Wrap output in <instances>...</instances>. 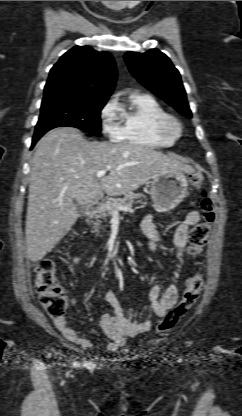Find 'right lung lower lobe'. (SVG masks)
Returning a JSON list of instances; mask_svg holds the SVG:
<instances>
[{"instance_id":"98d812e1","label":"right lung lower lobe","mask_w":242,"mask_h":416,"mask_svg":"<svg viewBox=\"0 0 242 416\" xmlns=\"http://www.w3.org/2000/svg\"><path fill=\"white\" fill-rule=\"evenodd\" d=\"M40 137H41V136H34V137H33L31 148H33V147H34L35 143H36V142L40 139Z\"/></svg>"}]
</instances>
